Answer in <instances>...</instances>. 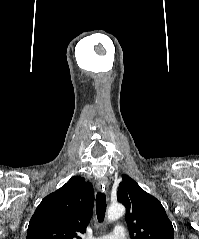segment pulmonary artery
Here are the masks:
<instances>
[{
	"mask_svg": "<svg viewBox=\"0 0 199 239\" xmlns=\"http://www.w3.org/2000/svg\"><path fill=\"white\" fill-rule=\"evenodd\" d=\"M95 239H126V233L122 226H116L112 233Z\"/></svg>",
	"mask_w": 199,
	"mask_h": 239,
	"instance_id": "e3ab8cb5",
	"label": "pulmonary artery"
}]
</instances>
